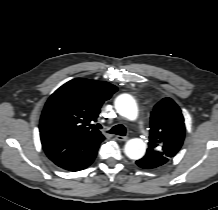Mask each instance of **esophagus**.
<instances>
[{
	"mask_svg": "<svg viewBox=\"0 0 218 210\" xmlns=\"http://www.w3.org/2000/svg\"><path fill=\"white\" fill-rule=\"evenodd\" d=\"M115 138L119 141H127L129 138L127 136L116 135Z\"/></svg>",
	"mask_w": 218,
	"mask_h": 210,
	"instance_id": "obj_1",
	"label": "esophagus"
}]
</instances>
